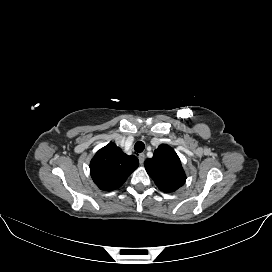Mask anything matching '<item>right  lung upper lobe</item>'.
<instances>
[{"mask_svg":"<svg viewBox=\"0 0 272 272\" xmlns=\"http://www.w3.org/2000/svg\"><path fill=\"white\" fill-rule=\"evenodd\" d=\"M138 166L136 156H128L116 144L109 143L91 160L90 174L101 190L112 191L119 188Z\"/></svg>","mask_w":272,"mask_h":272,"instance_id":"cb5924a9","label":"right lung upper lobe"}]
</instances>
